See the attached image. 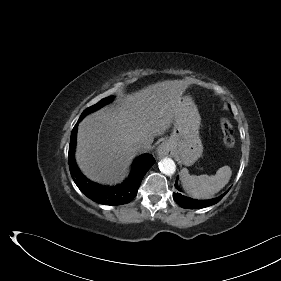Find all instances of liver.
I'll return each mask as SVG.
<instances>
[{
    "label": "liver",
    "mask_w": 281,
    "mask_h": 281,
    "mask_svg": "<svg viewBox=\"0 0 281 281\" xmlns=\"http://www.w3.org/2000/svg\"><path fill=\"white\" fill-rule=\"evenodd\" d=\"M187 80L157 82L104 107L79 124L75 158L82 173L101 184L119 183L137 145L152 143L171 127Z\"/></svg>",
    "instance_id": "6515ba94"
}]
</instances>
